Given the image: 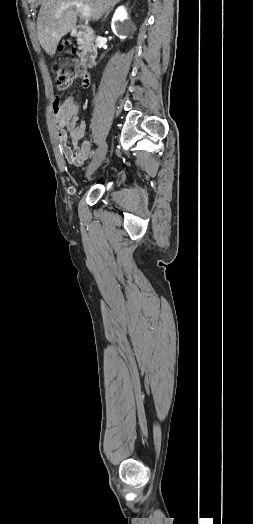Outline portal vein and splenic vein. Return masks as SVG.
Segmentation results:
<instances>
[{"label":"portal vein and splenic vein","instance_id":"obj_1","mask_svg":"<svg viewBox=\"0 0 253 524\" xmlns=\"http://www.w3.org/2000/svg\"><path fill=\"white\" fill-rule=\"evenodd\" d=\"M70 6H75L77 8V10L81 13L82 17L84 19H88L91 17V11H90V7L83 4V3H79V2H73V3H69V4H63L62 7H61V10H64Z\"/></svg>","mask_w":253,"mask_h":524}]
</instances>
